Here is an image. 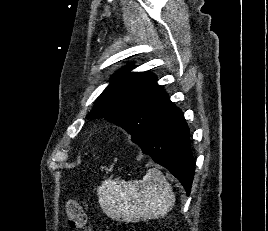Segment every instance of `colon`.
Returning a JSON list of instances; mask_svg holds the SVG:
<instances>
[{"mask_svg":"<svg viewBox=\"0 0 268 231\" xmlns=\"http://www.w3.org/2000/svg\"><path fill=\"white\" fill-rule=\"evenodd\" d=\"M65 213L71 229L75 231L86 229L88 219L82 205L78 201L69 199L65 205Z\"/></svg>","mask_w":268,"mask_h":231,"instance_id":"colon-1","label":"colon"}]
</instances>
